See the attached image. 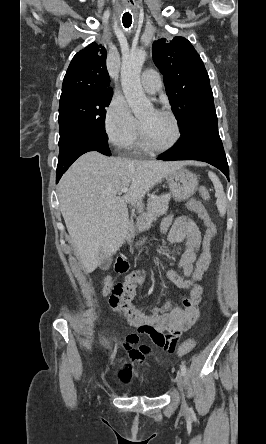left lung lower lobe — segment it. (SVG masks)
I'll list each match as a JSON object with an SVG mask.
<instances>
[{
	"instance_id": "obj_1",
	"label": "left lung lower lobe",
	"mask_w": 266,
	"mask_h": 444,
	"mask_svg": "<svg viewBox=\"0 0 266 444\" xmlns=\"http://www.w3.org/2000/svg\"><path fill=\"white\" fill-rule=\"evenodd\" d=\"M158 159L204 161L220 169L229 180V168L218 132L215 110L190 121L182 129V136L173 149L160 155Z\"/></svg>"
}]
</instances>
